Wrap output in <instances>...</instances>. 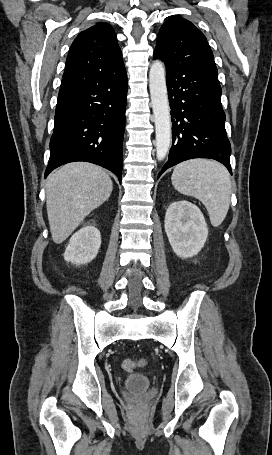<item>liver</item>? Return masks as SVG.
Here are the masks:
<instances>
[{
	"instance_id": "6515ba94",
	"label": "liver",
	"mask_w": 272,
	"mask_h": 455,
	"mask_svg": "<svg viewBox=\"0 0 272 455\" xmlns=\"http://www.w3.org/2000/svg\"><path fill=\"white\" fill-rule=\"evenodd\" d=\"M112 189L109 175L90 163H69L51 173L46 206L53 241H65L90 212L108 200Z\"/></svg>"
}]
</instances>
